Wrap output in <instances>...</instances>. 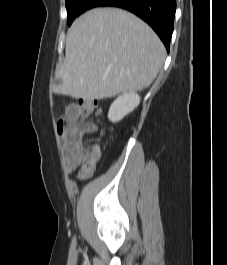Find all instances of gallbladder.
Instances as JSON below:
<instances>
[{"label":"gallbladder","mask_w":227,"mask_h":265,"mask_svg":"<svg viewBox=\"0 0 227 265\" xmlns=\"http://www.w3.org/2000/svg\"><path fill=\"white\" fill-rule=\"evenodd\" d=\"M55 84L58 86V85H61L62 84V80L61 79H58V80H55Z\"/></svg>","instance_id":"1"}]
</instances>
